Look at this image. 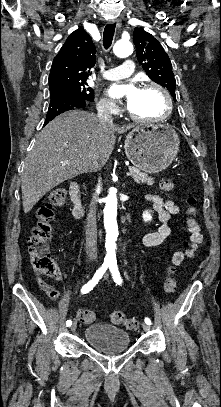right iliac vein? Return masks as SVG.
Listing matches in <instances>:
<instances>
[{
	"label": "right iliac vein",
	"instance_id": "1",
	"mask_svg": "<svg viewBox=\"0 0 221 407\" xmlns=\"http://www.w3.org/2000/svg\"><path fill=\"white\" fill-rule=\"evenodd\" d=\"M76 328H77V323H76V321H73V323L71 324L70 330L72 332H74L76 330Z\"/></svg>",
	"mask_w": 221,
	"mask_h": 407
}]
</instances>
